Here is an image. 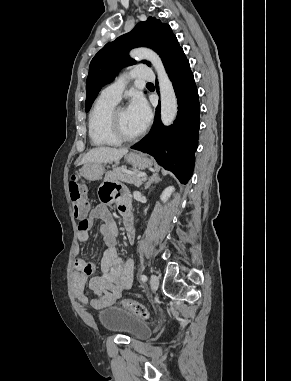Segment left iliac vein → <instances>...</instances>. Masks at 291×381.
<instances>
[{
    "instance_id": "4c4485c4",
    "label": "left iliac vein",
    "mask_w": 291,
    "mask_h": 381,
    "mask_svg": "<svg viewBox=\"0 0 291 381\" xmlns=\"http://www.w3.org/2000/svg\"><path fill=\"white\" fill-rule=\"evenodd\" d=\"M150 284H151V287L154 291H156L158 289V286H159V280H158V277L155 275V274H152L151 275V278H150Z\"/></svg>"
}]
</instances>
